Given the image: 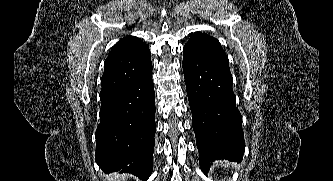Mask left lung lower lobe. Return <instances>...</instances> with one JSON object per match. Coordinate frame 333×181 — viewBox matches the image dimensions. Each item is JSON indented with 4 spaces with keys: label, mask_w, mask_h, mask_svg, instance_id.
<instances>
[{
    "label": "left lung lower lobe",
    "mask_w": 333,
    "mask_h": 181,
    "mask_svg": "<svg viewBox=\"0 0 333 181\" xmlns=\"http://www.w3.org/2000/svg\"><path fill=\"white\" fill-rule=\"evenodd\" d=\"M183 70L202 171L215 160L241 162L242 116L230 69L184 47Z\"/></svg>",
    "instance_id": "0a47b994"
}]
</instances>
